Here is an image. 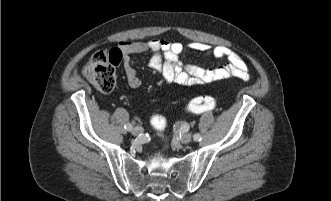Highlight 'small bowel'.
<instances>
[{
  "label": "small bowel",
  "mask_w": 331,
  "mask_h": 201,
  "mask_svg": "<svg viewBox=\"0 0 331 201\" xmlns=\"http://www.w3.org/2000/svg\"><path fill=\"white\" fill-rule=\"evenodd\" d=\"M187 50L198 51L215 58H226L228 63L214 69L186 64L181 61V58ZM118 52L127 83L131 88L140 87L142 82L130 63V56L146 52L153 53L149 62L151 70L160 74L167 83L191 87L231 77L243 81H248L250 78L244 60L235 51L223 45L211 46L204 42H191L184 46L179 42H170L165 39H151L147 42H121Z\"/></svg>",
  "instance_id": "small-bowel-1"
}]
</instances>
